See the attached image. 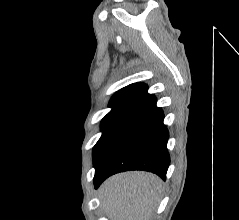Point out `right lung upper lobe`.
<instances>
[{"instance_id":"right-lung-upper-lobe-1","label":"right lung upper lobe","mask_w":239,"mask_h":220,"mask_svg":"<svg viewBox=\"0 0 239 220\" xmlns=\"http://www.w3.org/2000/svg\"><path fill=\"white\" fill-rule=\"evenodd\" d=\"M147 90V85L143 83L130 84L114 94L110 100L109 107H111L112 110L124 107L132 108L136 103L148 95Z\"/></svg>"}]
</instances>
